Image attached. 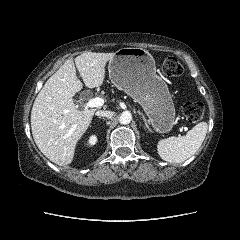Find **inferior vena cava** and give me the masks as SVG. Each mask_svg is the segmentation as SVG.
Returning <instances> with one entry per match:
<instances>
[{
  "label": "inferior vena cava",
  "mask_w": 240,
  "mask_h": 240,
  "mask_svg": "<svg viewBox=\"0 0 240 240\" xmlns=\"http://www.w3.org/2000/svg\"><path fill=\"white\" fill-rule=\"evenodd\" d=\"M95 115H97L99 117L102 116V117H106L108 119H112L114 117L115 113L113 111H109V110L108 111L99 110L95 113Z\"/></svg>",
  "instance_id": "inferior-vena-cava-1"
}]
</instances>
